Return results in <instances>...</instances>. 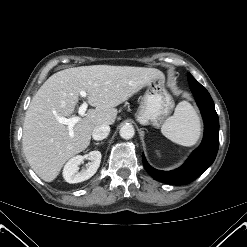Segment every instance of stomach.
I'll return each mask as SVG.
<instances>
[{
    "instance_id": "1",
    "label": "stomach",
    "mask_w": 247,
    "mask_h": 247,
    "mask_svg": "<svg viewBox=\"0 0 247 247\" xmlns=\"http://www.w3.org/2000/svg\"><path fill=\"white\" fill-rule=\"evenodd\" d=\"M174 101L165 88V77L162 74L146 85L140 106L135 114L142 125L159 127L171 113Z\"/></svg>"
}]
</instances>
